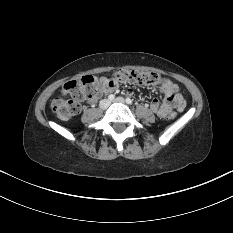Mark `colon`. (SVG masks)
<instances>
[{
    "instance_id": "1",
    "label": "colon",
    "mask_w": 233,
    "mask_h": 233,
    "mask_svg": "<svg viewBox=\"0 0 233 233\" xmlns=\"http://www.w3.org/2000/svg\"><path fill=\"white\" fill-rule=\"evenodd\" d=\"M113 79L118 82L159 85L168 82L156 72H143L129 69H117L113 72ZM100 87V80L93 75H86L66 82L62 87V96L55 98L51 103L53 113L63 121L70 120L80 110V101L94 96ZM172 113L169 118H175Z\"/></svg>"
}]
</instances>
